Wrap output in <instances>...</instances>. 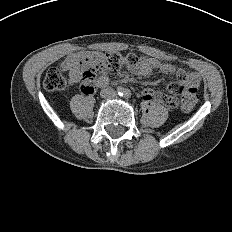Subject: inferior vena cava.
<instances>
[{
	"instance_id": "obj_1",
	"label": "inferior vena cava",
	"mask_w": 232,
	"mask_h": 232,
	"mask_svg": "<svg viewBox=\"0 0 232 232\" xmlns=\"http://www.w3.org/2000/svg\"><path fill=\"white\" fill-rule=\"evenodd\" d=\"M101 95L104 98H113L116 96V91L114 89L108 87V88H105L102 90Z\"/></svg>"
}]
</instances>
